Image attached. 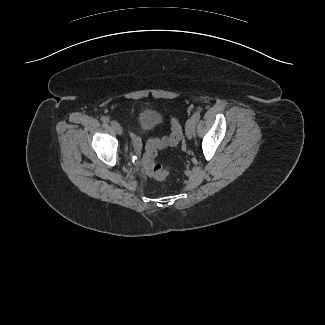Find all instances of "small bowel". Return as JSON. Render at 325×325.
Wrapping results in <instances>:
<instances>
[{"label":"small bowel","instance_id":"c3829d8e","mask_svg":"<svg viewBox=\"0 0 325 325\" xmlns=\"http://www.w3.org/2000/svg\"><path fill=\"white\" fill-rule=\"evenodd\" d=\"M132 141H133V146H134V149L139 152L141 149H142V142H141V139L136 136V135H133L132 136Z\"/></svg>","mask_w":325,"mask_h":325}]
</instances>
